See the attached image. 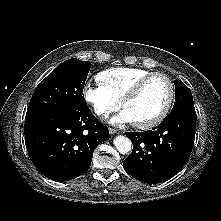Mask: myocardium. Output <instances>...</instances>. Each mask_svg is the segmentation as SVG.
I'll use <instances>...</instances> for the list:
<instances>
[{
  "label": "myocardium",
  "mask_w": 221,
  "mask_h": 221,
  "mask_svg": "<svg viewBox=\"0 0 221 221\" xmlns=\"http://www.w3.org/2000/svg\"><path fill=\"white\" fill-rule=\"evenodd\" d=\"M155 77H162L166 80L169 86V96L168 99L163 107V109L160 111V113L154 117L153 119L146 121V122H134V126L139 129H151L156 126H158L169 114L171 107L173 105L174 99H175V85L172 81V79L163 72H151L150 74L142 77L139 79L133 87L130 89V91L126 94V96L122 99L121 105L125 109L126 105L134 100L142 91L143 87L146 85L148 81H150L152 78Z\"/></svg>",
  "instance_id": "obj_1"
}]
</instances>
